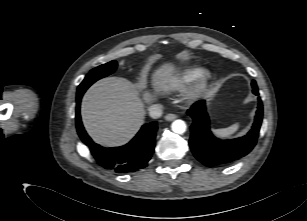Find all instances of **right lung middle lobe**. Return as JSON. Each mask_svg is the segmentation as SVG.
<instances>
[{
    "instance_id": "1",
    "label": "right lung middle lobe",
    "mask_w": 307,
    "mask_h": 221,
    "mask_svg": "<svg viewBox=\"0 0 307 221\" xmlns=\"http://www.w3.org/2000/svg\"><path fill=\"white\" fill-rule=\"evenodd\" d=\"M117 68V62L111 61L92 69L78 86L77 94H83L95 81L112 74Z\"/></svg>"
}]
</instances>
